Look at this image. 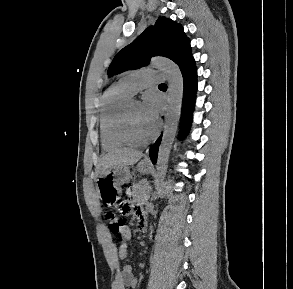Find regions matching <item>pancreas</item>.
Instances as JSON below:
<instances>
[{
	"label": "pancreas",
	"instance_id": "pancreas-1",
	"mask_svg": "<svg viewBox=\"0 0 293 289\" xmlns=\"http://www.w3.org/2000/svg\"><path fill=\"white\" fill-rule=\"evenodd\" d=\"M132 196L134 199L139 201H147L150 197V190L147 186L146 181H140L133 184L132 186Z\"/></svg>",
	"mask_w": 293,
	"mask_h": 289
}]
</instances>
